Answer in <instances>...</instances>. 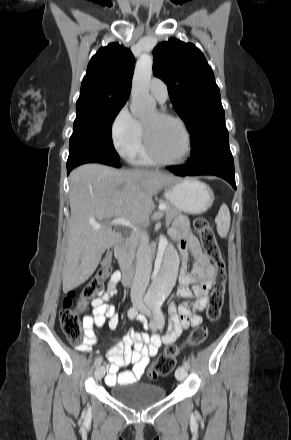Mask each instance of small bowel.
Returning <instances> with one entry per match:
<instances>
[{
    "label": "small bowel",
    "mask_w": 291,
    "mask_h": 440,
    "mask_svg": "<svg viewBox=\"0 0 291 440\" xmlns=\"http://www.w3.org/2000/svg\"><path fill=\"white\" fill-rule=\"evenodd\" d=\"M168 234L178 245L183 262L175 296L194 301L185 302L177 307L174 303L175 296H172L167 306L170 331L163 337L156 333L149 335L131 329L122 338L114 341L107 352L105 382L109 386L131 382L141 377L150 366L151 358L158 354L162 345L177 340L184 328L196 327L202 323L200 312L208 305V289L215 269L209 257L200 249L185 218L176 220ZM189 254L195 259L191 271L187 270ZM120 280L121 273L115 272L107 284L106 293L92 301V312L83 319L84 339L83 343L76 347L78 350L87 351L94 345L97 329L104 324L106 318L109 319L110 329L115 330L118 327V316L113 306L106 301L115 293ZM190 284H193L192 289L189 288ZM137 319L145 324L144 316L139 315ZM130 363L133 364L132 371L126 369Z\"/></svg>",
    "instance_id": "1"
}]
</instances>
